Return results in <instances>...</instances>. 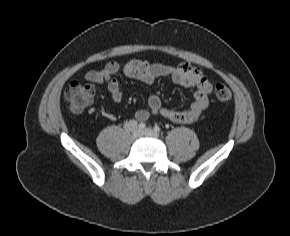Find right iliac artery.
<instances>
[{
    "instance_id": "right-iliac-artery-1",
    "label": "right iliac artery",
    "mask_w": 290,
    "mask_h": 236,
    "mask_svg": "<svg viewBox=\"0 0 290 236\" xmlns=\"http://www.w3.org/2000/svg\"><path fill=\"white\" fill-rule=\"evenodd\" d=\"M138 128L139 130H144L146 128V124L141 122L140 124H138Z\"/></svg>"
}]
</instances>
